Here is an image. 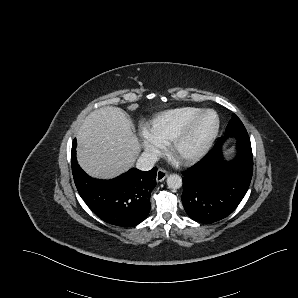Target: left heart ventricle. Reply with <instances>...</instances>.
Masks as SVG:
<instances>
[{"label":"left heart ventricle","instance_id":"left-heart-ventricle-1","mask_svg":"<svg viewBox=\"0 0 298 298\" xmlns=\"http://www.w3.org/2000/svg\"><path fill=\"white\" fill-rule=\"evenodd\" d=\"M214 128V117L210 114L204 116L194 129L184 138L180 146L182 153L195 150L212 132Z\"/></svg>","mask_w":298,"mask_h":298}]
</instances>
